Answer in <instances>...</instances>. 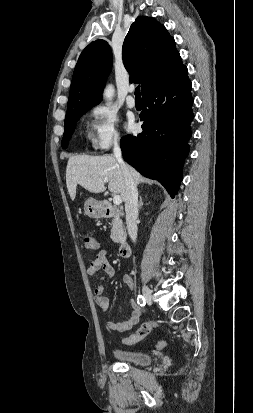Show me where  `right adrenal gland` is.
Segmentation results:
<instances>
[{
  "mask_svg": "<svg viewBox=\"0 0 253 413\" xmlns=\"http://www.w3.org/2000/svg\"><path fill=\"white\" fill-rule=\"evenodd\" d=\"M142 206H143V202H142V197L140 196V199H139V209H141Z\"/></svg>",
  "mask_w": 253,
  "mask_h": 413,
  "instance_id": "1",
  "label": "right adrenal gland"
}]
</instances>
